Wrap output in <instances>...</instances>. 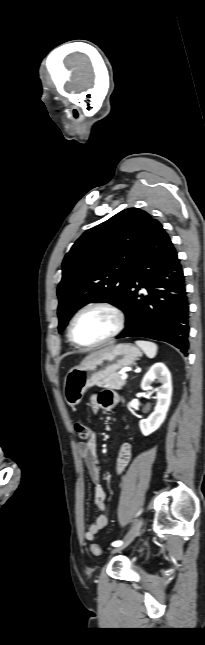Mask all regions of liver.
<instances>
[{"label":"liver","mask_w":205,"mask_h":645,"mask_svg":"<svg viewBox=\"0 0 205 645\" xmlns=\"http://www.w3.org/2000/svg\"><path fill=\"white\" fill-rule=\"evenodd\" d=\"M113 347H114V345H113V344H111V345H110V346H108V347H105V348H103V349H101V350H98V351H96V352L91 353L90 355H88V356H87V357L82 361L81 365H82V364H84V363H86V362H88L89 360H91V359L95 358L96 356H98V355H100V354H103V353H105V352H107V351L111 350Z\"/></svg>","instance_id":"6515ba94"}]
</instances>
